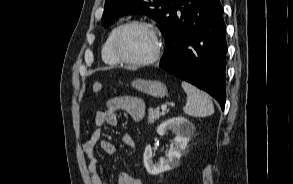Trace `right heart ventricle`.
Listing matches in <instances>:
<instances>
[{
    "instance_id": "e07e8e85",
    "label": "right heart ventricle",
    "mask_w": 293,
    "mask_h": 184,
    "mask_svg": "<svg viewBox=\"0 0 293 184\" xmlns=\"http://www.w3.org/2000/svg\"><path fill=\"white\" fill-rule=\"evenodd\" d=\"M119 26L114 27L108 34V36L106 37L103 45H102V49H101V56H102V60L105 64L107 65H111V66H115L118 65L120 62L116 59V57L114 56L112 49H111V41L113 38L114 33L116 32V30L118 29Z\"/></svg>"
}]
</instances>
